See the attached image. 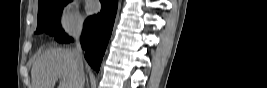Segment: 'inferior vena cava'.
<instances>
[{
	"mask_svg": "<svg viewBox=\"0 0 267 88\" xmlns=\"http://www.w3.org/2000/svg\"><path fill=\"white\" fill-rule=\"evenodd\" d=\"M81 35V31L78 30L75 32V39H76V47L74 49V54L78 64V76H79V84L77 88H83L84 86V71H83V54H82V47L79 41Z\"/></svg>",
	"mask_w": 267,
	"mask_h": 88,
	"instance_id": "1",
	"label": "inferior vena cava"
}]
</instances>
